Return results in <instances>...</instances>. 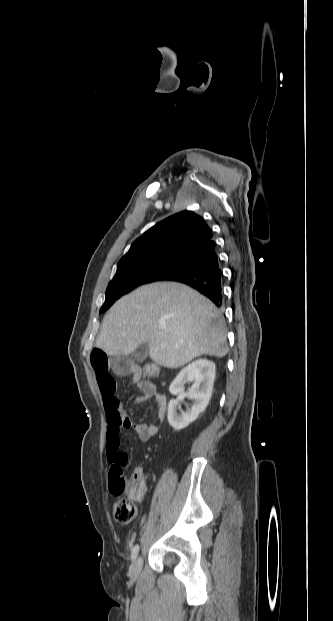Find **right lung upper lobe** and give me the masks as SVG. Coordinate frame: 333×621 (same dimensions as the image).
<instances>
[{"label":"right lung upper lobe","mask_w":333,"mask_h":621,"mask_svg":"<svg viewBox=\"0 0 333 621\" xmlns=\"http://www.w3.org/2000/svg\"><path fill=\"white\" fill-rule=\"evenodd\" d=\"M213 239L211 228L193 211L184 210L157 223L134 241L119 263L161 257L186 258Z\"/></svg>","instance_id":"cb5924a9"}]
</instances>
